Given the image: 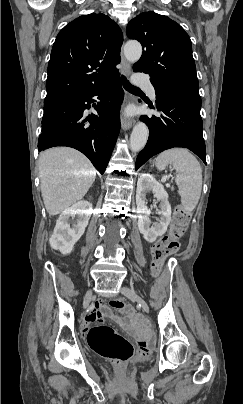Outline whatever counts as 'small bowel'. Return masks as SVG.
Listing matches in <instances>:
<instances>
[{
  "instance_id": "small-bowel-1",
  "label": "small bowel",
  "mask_w": 243,
  "mask_h": 404,
  "mask_svg": "<svg viewBox=\"0 0 243 404\" xmlns=\"http://www.w3.org/2000/svg\"><path fill=\"white\" fill-rule=\"evenodd\" d=\"M101 305L99 302L94 303L92 309L86 314L81 323V327L83 332H87L89 326L95 322L96 320H100L102 318V313L100 312Z\"/></svg>"
}]
</instances>
